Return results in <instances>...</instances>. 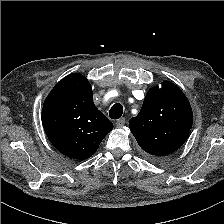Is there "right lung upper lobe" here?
Instances as JSON below:
<instances>
[{"instance_id": "right-lung-upper-lobe-1", "label": "right lung upper lobe", "mask_w": 224, "mask_h": 224, "mask_svg": "<svg viewBox=\"0 0 224 224\" xmlns=\"http://www.w3.org/2000/svg\"><path fill=\"white\" fill-rule=\"evenodd\" d=\"M92 87L79 73L59 81L44 101L42 124L53 146L63 155L83 160L91 157L112 122L93 103Z\"/></svg>"}]
</instances>
